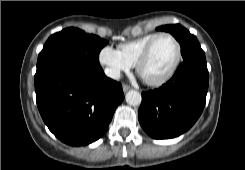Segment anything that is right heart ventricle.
<instances>
[{
    "instance_id": "1",
    "label": "right heart ventricle",
    "mask_w": 245,
    "mask_h": 170,
    "mask_svg": "<svg viewBox=\"0 0 245 170\" xmlns=\"http://www.w3.org/2000/svg\"><path fill=\"white\" fill-rule=\"evenodd\" d=\"M158 34L159 33H150L125 42L119 45V51L131 65H135L138 56L144 50L146 45Z\"/></svg>"
}]
</instances>
